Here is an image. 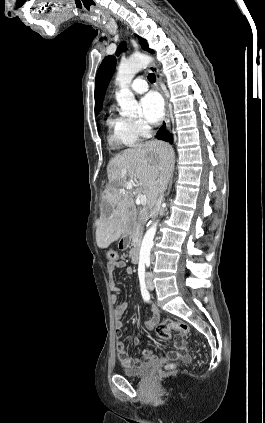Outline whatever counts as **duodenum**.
<instances>
[{"label":"duodenum","instance_id":"410a0bca","mask_svg":"<svg viewBox=\"0 0 265 423\" xmlns=\"http://www.w3.org/2000/svg\"><path fill=\"white\" fill-rule=\"evenodd\" d=\"M131 259L133 263H138L140 260L139 257V243L134 241L131 248Z\"/></svg>","mask_w":265,"mask_h":423}]
</instances>
